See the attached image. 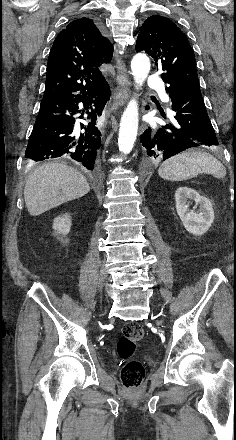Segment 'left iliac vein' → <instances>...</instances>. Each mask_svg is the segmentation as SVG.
Masks as SVG:
<instances>
[{
    "label": "left iliac vein",
    "mask_w": 236,
    "mask_h": 440,
    "mask_svg": "<svg viewBox=\"0 0 236 440\" xmlns=\"http://www.w3.org/2000/svg\"><path fill=\"white\" fill-rule=\"evenodd\" d=\"M157 324L159 325V324H160V322H159V321H157Z\"/></svg>",
    "instance_id": "1"
}]
</instances>
